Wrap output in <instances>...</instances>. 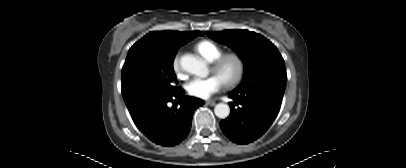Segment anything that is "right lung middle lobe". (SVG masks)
Segmentation results:
<instances>
[{"label":"right lung middle lobe","instance_id":"1","mask_svg":"<svg viewBox=\"0 0 406 168\" xmlns=\"http://www.w3.org/2000/svg\"><path fill=\"white\" fill-rule=\"evenodd\" d=\"M176 52L132 46L122 68L121 90L131 115L171 95L179 87L173 70Z\"/></svg>","mask_w":406,"mask_h":168}]
</instances>
